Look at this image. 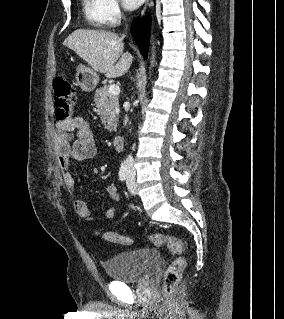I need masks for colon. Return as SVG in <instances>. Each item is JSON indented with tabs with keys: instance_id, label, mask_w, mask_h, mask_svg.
I'll return each mask as SVG.
<instances>
[{
	"instance_id": "1",
	"label": "colon",
	"mask_w": 284,
	"mask_h": 319,
	"mask_svg": "<svg viewBox=\"0 0 284 319\" xmlns=\"http://www.w3.org/2000/svg\"><path fill=\"white\" fill-rule=\"evenodd\" d=\"M55 117L58 122H66L72 118L76 93L71 83L62 75L57 76L53 81ZM101 237L112 243L121 245H131L132 238L113 232H104ZM148 240L155 246H167L176 256L164 275L163 290L166 295H170L177 287L181 272L186 265L185 248L183 243L177 238L162 233L150 235Z\"/></svg>"
}]
</instances>
